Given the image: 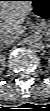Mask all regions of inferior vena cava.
Returning a JSON list of instances; mask_svg holds the SVG:
<instances>
[{
	"label": "inferior vena cava",
	"mask_w": 50,
	"mask_h": 111,
	"mask_svg": "<svg viewBox=\"0 0 50 111\" xmlns=\"http://www.w3.org/2000/svg\"><path fill=\"white\" fill-rule=\"evenodd\" d=\"M21 33H5L1 36V40L4 41L6 44H12L18 42L20 40Z\"/></svg>",
	"instance_id": "602c4592"
}]
</instances>
